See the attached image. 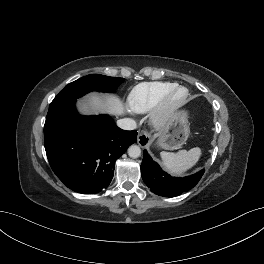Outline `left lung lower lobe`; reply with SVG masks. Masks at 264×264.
I'll return each instance as SVG.
<instances>
[{
	"label": "left lung lower lobe",
	"mask_w": 264,
	"mask_h": 264,
	"mask_svg": "<svg viewBox=\"0 0 264 264\" xmlns=\"http://www.w3.org/2000/svg\"><path fill=\"white\" fill-rule=\"evenodd\" d=\"M141 175L145 184L157 195L175 197L193 188L204 174V169L184 178L171 177L143 151Z\"/></svg>",
	"instance_id": "obj_1"
}]
</instances>
